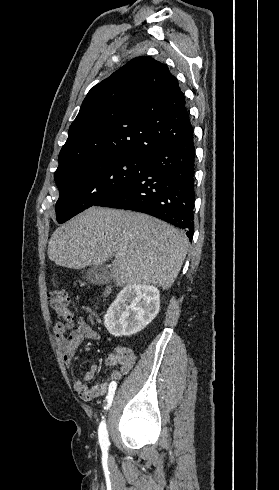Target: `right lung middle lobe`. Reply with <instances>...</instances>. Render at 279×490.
<instances>
[{
	"mask_svg": "<svg viewBox=\"0 0 279 490\" xmlns=\"http://www.w3.org/2000/svg\"><path fill=\"white\" fill-rule=\"evenodd\" d=\"M148 165L147 159L134 156L102 157L55 176L60 192L56 203L57 222L64 223L94 206L106 195L141 176Z\"/></svg>",
	"mask_w": 279,
	"mask_h": 490,
	"instance_id": "obj_1",
	"label": "right lung middle lobe"
}]
</instances>
